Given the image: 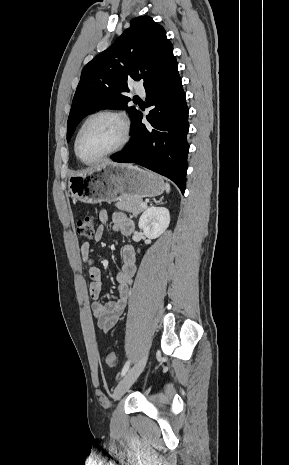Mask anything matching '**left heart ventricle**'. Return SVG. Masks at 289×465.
I'll list each match as a JSON object with an SVG mask.
<instances>
[{
	"mask_svg": "<svg viewBox=\"0 0 289 465\" xmlns=\"http://www.w3.org/2000/svg\"><path fill=\"white\" fill-rule=\"evenodd\" d=\"M122 139V128L113 118L101 116L85 126L79 139V153L85 160L94 159L115 148Z\"/></svg>",
	"mask_w": 289,
	"mask_h": 465,
	"instance_id": "left-heart-ventricle-1",
	"label": "left heart ventricle"
}]
</instances>
